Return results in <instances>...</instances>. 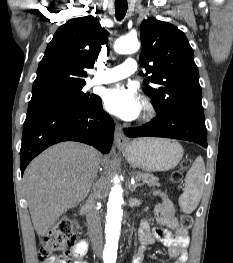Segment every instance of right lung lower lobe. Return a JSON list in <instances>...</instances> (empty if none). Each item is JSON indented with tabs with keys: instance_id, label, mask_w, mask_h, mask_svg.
I'll use <instances>...</instances> for the list:
<instances>
[{
	"instance_id": "obj_1",
	"label": "right lung lower lobe",
	"mask_w": 233,
	"mask_h": 263,
	"mask_svg": "<svg viewBox=\"0 0 233 263\" xmlns=\"http://www.w3.org/2000/svg\"><path fill=\"white\" fill-rule=\"evenodd\" d=\"M114 133L112 118L103 111L101 99L75 109H55L27 115L20 150L21 172L44 149L72 140L109 153Z\"/></svg>"
}]
</instances>
